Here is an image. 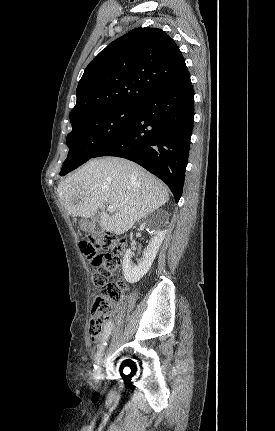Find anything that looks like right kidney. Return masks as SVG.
Returning a JSON list of instances; mask_svg holds the SVG:
<instances>
[{
  "mask_svg": "<svg viewBox=\"0 0 275 431\" xmlns=\"http://www.w3.org/2000/svg\"><path fill=\"white\" fill-rule=\"evenodd\" d=\"M147 222L141 224V228H145ZM166 231L165 230H157L154 233V236L148 243L146 250L143 253L142 258L137 261V264H133L131 261L132 251L128 249L125 252L122 269L124 273V277L129 283L138 282L150 269L158 250L164 240Z\"/></svg>",
  "mask_w": 275,
  "mask_h": 431,
  "instance_id": "right-kidney-1",
  "label": "right kidney"
}]
</instances>
